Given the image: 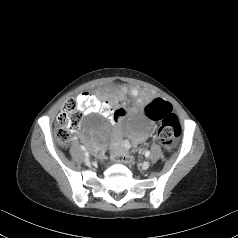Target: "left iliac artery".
Segmentation results:
<instances>
[{"label":"left iliac artery","mask_w":238,"mask_h":238,"mask_svg":"<svg viewBox=\"0 0 238 238\" xmlns=\"http://www.w3.org/2000/svg\"><path fill=\"white\" fill-rule=\"evenodd\" d=\"M150 155V151L145 152V156L148 157Z\"/></svg>","instance_id":"44dca946"}]
</instances>
